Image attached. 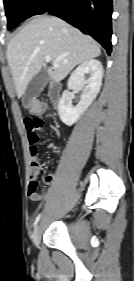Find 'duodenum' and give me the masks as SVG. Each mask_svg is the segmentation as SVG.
Wrapping results in <instances>:
<instances>
[{
	"mask_svg": "<svg viewBox=\"0 0 134 281\" xmlns=\"http://www.w3.org/2000/svg\"><path fill=\"white\" fill-rule=\"evenodd\" d=\"M49 100L52 104H58L61 97V85L59 83H53L48 92Z\"/></svg>",
	"mask_w": 134,
	"mask_h": 281,
	"instance_id": "1",
	"label": "duodenum"
}]
</instances>
